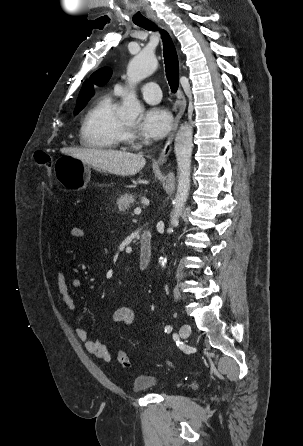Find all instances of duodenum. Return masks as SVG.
I'll list each match as a JSON object with an SVG mask.
<instances>
[{"label": "duodenum", "mask_w": 303, "mask_h": 446, "mask_svg": "<svg viewBox=\"0 0 303 446\" xmlns=\"http://www.w3.org/2000/svg\"><path fill=\"white\" fill-rule=\"evenodd\" d=\"M152 238L148 231H144L139 238V269L145 270L152 260Z\"/></svg>", "instance_id": "410a0bca"}]
</instances>
